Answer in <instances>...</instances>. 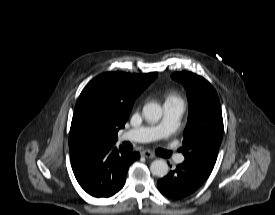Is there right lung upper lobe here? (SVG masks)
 Here are the masks:
<instances>
[{"mask_svg": "<svg viewBox=\"0 0 275 215\" xmlns=\"http://www.w3.org/2000/svg\"><path fill=\"white\" fill-rule=\"evenodd\" d=\"M157 73H103L81 92L69 135L70 157L96 144H114L135 99Z\"/></svg>", "mask_w": 275, "mask_h": 215, "instance_id": "obj_1", "label": "right lung upper lobe"}]
</instances>
